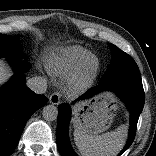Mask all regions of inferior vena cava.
<instances>
[{"label":"inferior vena cava","instance_id":"602c4592","mask_svg":"<svg viewBox=\"0 0 156 156\" xmlns=\"http://www.w3.org/2000/svg\"><path fill=\"white\" fill-rule=\"evenodd\" d=\"M27 86L37 94H44L47 90V81L41 76H35L27 80Z\"/></svg>","mask_w":156,"mask_h":156}]
</instances>
